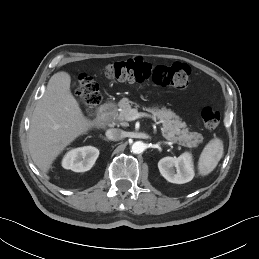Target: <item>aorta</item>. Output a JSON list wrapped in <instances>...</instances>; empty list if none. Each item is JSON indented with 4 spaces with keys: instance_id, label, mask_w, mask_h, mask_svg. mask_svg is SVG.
Returning a JSON list of instances; mask_svg holds the SVG:
<instances>
[{
    "instance_id": "762f6f07",
    "label": "aorta",
    "mask_w": 259,
    "mask_h": 259,
    "mask_svg": "<svg viewBox=\"0 0 259 259\" xmlns=\"http://www.w3.org/2000/svg\"><path fill=\"white\" fill-rule=\"evenodd\" d=\"M145 150V144L142 141H136L131 146V152L140 154Z\"/></svg>"
}]
</instances>
